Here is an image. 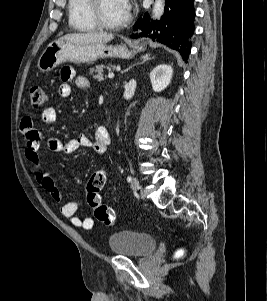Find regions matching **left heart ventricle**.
Masks as SVG:
<instances>
[{
    "label": "left heart ventricle",
    "instance_id": "obj_1",
    "mask_svg": "<svg viewBox=\"0 0 267 301\" xmlns=\"http://www.w3.org/2000/svg\"><path fill=\"white\" fill-rule=\"evenodd\" d=\"M127 14V7L123 0H102L101 15L108 23H117Z\"/></svg>",
    "mask_w": 267,
    "mask_h": 301
}]
</instances>
